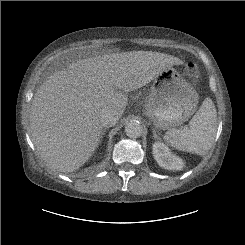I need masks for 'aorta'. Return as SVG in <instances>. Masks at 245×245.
<instances>
[{
  "instance_id": "aorta-1",
  "label": "aorta",
  "mask_w": 245,
  "mask_h": 245,
  "mask_svg": "<svg viewBox=\"0 0 245 245\" xmlns=\"http://www.w3.org/2000/svg\"><path fill=\"white\" fill-rule=\"evenodd\" d=\"M143 131L142 125L139 121H130L125 126V133L130 138H138Z\"/></svg>"
}]
</instances>
